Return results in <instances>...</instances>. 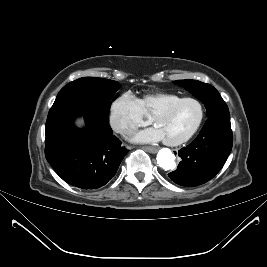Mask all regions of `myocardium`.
Masks as SVG:
<instances>
[{
    "mask_svg": "<svg viewBox=\"0 0 267 267\" xmlns=\"http://www.w3.org/2000/svg\"><path fill=\"white\" fill-rule=\"evenodd\" d=\"M194 102L197 104L198 108H199V116L198 119L196 121V123L194 124V126L192 127V129L185 134L184 136H182L181 138L175 139V140H167L164 139V143L166 145L169 146H179L184 144L185 142H187L188 140H190L195 134L196 132L199 130L203 120H204V116H205V108L203 103L195 98V97H181L180 99L160 108L159 110H157L152 116H151V121L152 123L155 124L156 120L158 117L165 115L169 112H171L174 108H176L178 105L184 103V102Z\"/></svg>",
    "mask_w": 267,
    "mask_h": 267,
    "instance_id": "myocardium-1",
    "label": "myocardium"
}]
</instances>
